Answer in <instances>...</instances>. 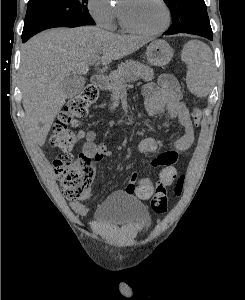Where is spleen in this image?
I'll use <instances>...</instances> for the list:
<instances>
[{
    "instance_id": "1",
    "label": "spleen",
    "mask_w": 245,
    "mask_h": 300,
    "mask_svg": "<svg viewBox=\"0 0 245 300\" xmlns=\"http://www.w3.org/2000/svg\"><path fill=\"white\" fill-rule=\"evenodd\" d=\"M187 64L186 84L191 93L206 97L212 84V52L200 42L188 43L183 52Z\"/></svg>"
}]
</instances>
